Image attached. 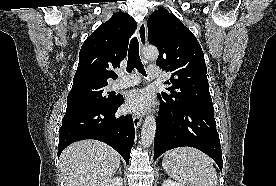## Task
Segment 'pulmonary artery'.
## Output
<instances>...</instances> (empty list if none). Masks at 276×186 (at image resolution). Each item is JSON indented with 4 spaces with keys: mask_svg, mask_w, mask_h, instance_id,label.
<instances>
[{
    "mask_svg": "<svg viewBox=\"0 0 276 186\" xmlns=\"http://www.w3.org/2000/svg\"><path fill=\"white\" fill-rule=\"evenodd\" d=\"M147 75L149 78H158L161 76V70L158 66L150 65L147 68ZM140 82V77L136 74L133 75H124L120 74L118 79L112 82L111 89H121L130 86L137 85Z\"/></svg>",
    "mask_w": 276,
    "mask_h": 186,
    "instance_id": "pulmonary-artery-1",
    "label": "pulmonary artery"
}]
</instances>
